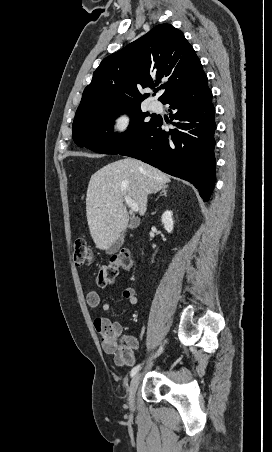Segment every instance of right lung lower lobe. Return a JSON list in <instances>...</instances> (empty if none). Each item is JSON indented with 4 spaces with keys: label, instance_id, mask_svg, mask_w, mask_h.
Segmentation results:
<instances>
[{
    "label": "right lung lower lobe",
    "instance_id": "right-lung-lower-lobe-1",
    "mask_svg": "<svg viewBox=\"0 0 272 452\" xmlns=\"http://www.w3.org/2000/svg\"><path fill=\"white\" fill-rule=\"evenodd\" d=\"M170 105V122L165 131L163 119L156 117L141 138L120 155L146 162L161 171L187 180L205 202L215 184L214 120L212 92L205 76L162 102Z\"/></svg>",
    "mask_w": 272,
    "mask_h": 452
}]
</instances>
